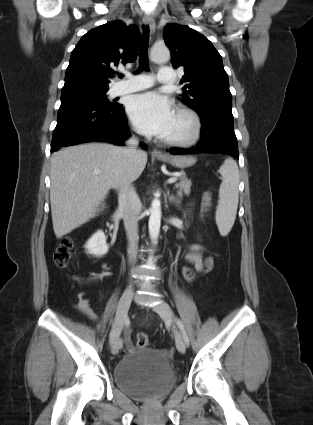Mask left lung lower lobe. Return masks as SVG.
I'll return each mask as SVG.
<instances>
[{"label": "left lung lower lobe", "mask_w": 313, "mask_h": 425, "mask_svg": "<svg viewBox=\"0 0 313 425\" xmlns=\"http://www.w3.org/2000/svg\"><path fill=\"white\" fill-rule=\"evenodd\" d=\"M201 117V140L190 149L171 148L174 155L218 152L239 158L232 112L211 111Z\"/></svg>", "instance_id": "0a47b994"}]
</instances>
